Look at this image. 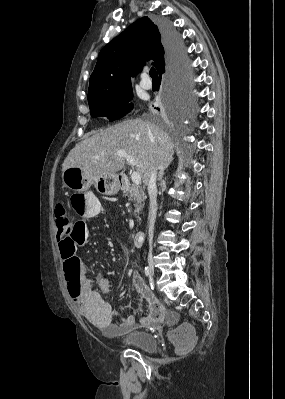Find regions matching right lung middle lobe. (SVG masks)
I'll list each match as a JSON object with an SVG mask.
<instances>
[{"instance_id":"obj_1","label":"right lung middle lobe","mask_w":285,"mask_h":399,"mask_svg":"<svg viewBox=\"0 0 285 399\" xmlns=\"http://www.w3.org/2000/svg\"><path fill=\"white\" fill-rule=\"evenodd\" d=\"M133 98L132 89H128L113 95H103L88 100L92 117H107L110 121L124 116L131 108L128 102ZM189 98V86L184 82L183 75L173 86V106L184 102Z\"/></svg>"}]
</instances>
